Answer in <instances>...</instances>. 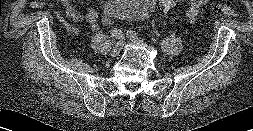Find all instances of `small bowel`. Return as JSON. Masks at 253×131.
I'll use <instances>...</instances> for the list:
<instances>
[{"label": "small bowel", "mask_w": 253, "mask_h": 131, "mask_svg": "<svg viewBox=\"0 0 253 131\" xmlns=\"http://www.w3.org/2000/svg\"><path fill=\"white\" fill-rule=\"evenodd\" d=\"M210 0H187L188 2V9L186 11V18L190 22H194L197 20L201 13V9L204 5H206ZM65 14L67 17L72 19L75 22H82L86 21L92 25L93 30H98L99 25L97 23L99 18V12L93 8L89 7L84 14L79 12L76 7L73 5V0H60ZM57 17L62 20V16L58 13ZM68 30L72 33H77L78 29L68 25Z\"/></svg>", "instance_id": "small-bowel-1"}]
</instances>
